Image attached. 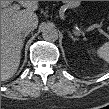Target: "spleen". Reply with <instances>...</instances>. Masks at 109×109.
Wrapping results in <instances>:
<instances>
[{
	"label": "spleen",
	"instance_id": "3e777b00",
	"mask_svg": "<svg viewBox=\"0 0 109 109\" xmlns=\"http://www.w3.org/2000/svg\"><path fill=\"white\" fill-rule=\"evenodd\" d=\"M97 54L100 58L108 61L109 59V43H104L98 50Z\"/></svg>",
	"mask_w": 109,
	"mask_h": 109
}]
</instances>
